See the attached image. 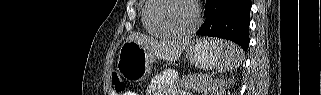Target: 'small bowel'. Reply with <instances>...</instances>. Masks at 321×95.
Returning <instances> with one entry per match:
<instances>
[{
  "label": "small bowel",
  "mask_w": 321,
  "mask_h": 95,
  "mask_svg": "<svg viewBox=\"0 0 321 95\" xmlns=\"http://www.w3.org/2000/svg\"><path fill=\"white\" fill-rule=\"evenodd\" d=\"M125 95H135V94H133L132 92H126ZM155 95H167V93L157 92V93H155Z\"/></svg>",
  "instance_id": "obj_1"
}]
</instances>
